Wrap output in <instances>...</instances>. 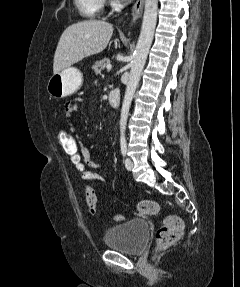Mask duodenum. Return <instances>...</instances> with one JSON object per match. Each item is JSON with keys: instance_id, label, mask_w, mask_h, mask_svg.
Returning a JSON list of instances; mask_svg holds the SVG:
<instances>
[{"instance_id": "410a0bca", "label": "duodenum", "mask_w": 240, "mask_h": 287, "mask_svg": "<svg viewBox=\"0 0 240 287\" xmlns=\"http://www.w3.org/2000/svg\"><path fill=\"white\" fill-rule=\"evenodd\" d=\"M108 102L112 107H118L120 104V92L118 89H113L108 94Z\"/></svg>"}]
</instances>
